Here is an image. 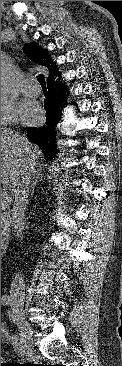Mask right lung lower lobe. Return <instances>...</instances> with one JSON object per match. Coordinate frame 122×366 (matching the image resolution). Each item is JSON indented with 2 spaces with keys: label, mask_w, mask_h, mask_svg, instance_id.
<instances>
[{
  "label": "right lung lower lobe",
  "mask_w": 122,
  "mask_h": 366,
  "mask_svg": "<svg viewBox=\"0 0 122 366\" xmlns=\"http://www.w3.org/2000/svg\"><path fill=\"white\" fill-rule=\"evenodd\" d=\"M48 97L44 101L46 109V124L40 128H28L27 135L32 142H36L49 161H52L58 152L56 145V125L60 120L63 101L66 92L63 85L58 82H48Z\"/></svg>",
  "instance_id": "right-lung-lower-lobe-1"
}]
</instances>
